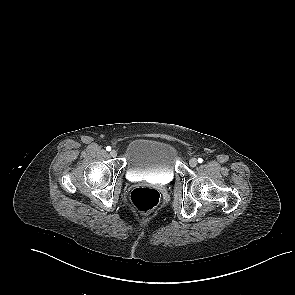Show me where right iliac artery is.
Here are the masks:
<instances>
[{"label":"right iliac artery","mask_w":295,"mask_h":295,"mask_svg":"<svg viewBox=\"0 0 295 295\" xmlns=\"http://www.w3.org/2000/svg\"><path fill=\"white\" fill-rule=\"evenodd\" d=\"M106 150H107V151H110V150H111V147H110V146H107V147H106Z\"/></svg>","instance_id":"obj_1"}]
</instances>
